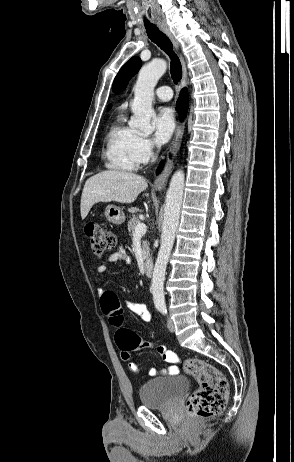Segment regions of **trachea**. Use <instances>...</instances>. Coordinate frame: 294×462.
I'll use <instances>...</instances> for the list:
<instances>
[{
  "mask_svg": "<svg viewBox=\"0 0 294 462\" xmlns=\"http://www.w3.org/2000/svg\"><path fill=\"white\" fill-rule=\"evenodd\" d=\"M145 28L149 39L169 55L171 59V77L173 81L177 83L182 78V66L178 56L173 51V45L170 39L154 24L145 23Z\"/></svg>",
  "mask_w": 294,
  "mask_h": 462,
  "instance_id": "3493384b",
  "label": "trachea"
}]
</instances>
